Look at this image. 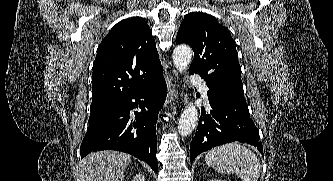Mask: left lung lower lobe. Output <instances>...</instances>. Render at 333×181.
<instances>
[{"label": "left lung lower lobe", "instance_id": "0a47b994", "mask_svg": "<svg viewBox=\"0 0 333 181\" xmlns=\"http://www.w3.org/2000/svg\"><path fill=\"white\" fill-rule=\"evenodd\" d=\"M206 84L212 109L209 114L202 110L195 137L190 145L191 164L200 153L234 141L257 147L263 156L259 132L250 118L248 107L234 102L219 88Z\"/></svg>", "mask_w": 333, "mask_h": 181}]
</instances>
